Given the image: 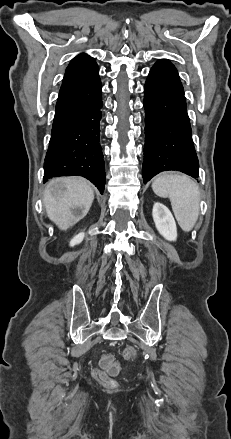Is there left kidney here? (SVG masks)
Returning a JSON list of instances; mask_svg holds the SVG:
<instances>
[{
  "mask_svg": "<svg viewBox=\"0 0 231 439\" xmlns=\"http://www.w3.org/2000/svg\"><path fill=\"white\" fill-rule=\"evenodd\" d=\"M153 220L158 232L168 241L177 238L175 219L170 210L163 204L156 202L152 211Z\"/></svg>",
  "mask_w": 231,
  "mask_h": 439,
  "instance_id": "1",
  "label": "left kidney"
}]
</instances>
